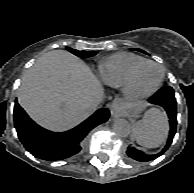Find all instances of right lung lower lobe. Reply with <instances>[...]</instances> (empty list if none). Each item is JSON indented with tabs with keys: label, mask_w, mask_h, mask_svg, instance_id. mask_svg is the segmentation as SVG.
I'll return each mask as SVG.
<instances>
[{
	"label": "right lung lower lobe",
	"mask_w": 194,
	"mask_h": 193,
	"mask_svg": "<svg viewBox=\"0 0 194 193\" xmlns=\"http://www.w3.org/2000/svg\"><path fill=\"white\" fill-rule=\"evenodd\" d=\"M109 114L108 109H99L77 127L55 133L37 125L17 101L14 106L15 128L20 141L34 157L48 161L62 160L77 154L84 137L94 127L106 122Z\"/></svg>",
	"instance_id": "obj_1"
}]
</instances>
